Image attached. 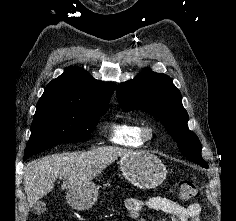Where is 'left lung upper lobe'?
<instances>
[{
	"label": "left lung upper lobe",
	"instance_id": "obj_1",
	"mask_svg": "<svg viewBox=\"0 0 236 221\" xmlns=\"http://www.w3.org/2000/svg\"><path fill=\"white\" fill-rule=\"evenodd\" d=\"M116 94L124 111L140 109L154 115L178 143L184 156L208 168L201 156L200 141L188 128V113L182 105L181 93L168 75L145 69L133 80L119 84Z\"/></svg>",
	"mask_w": 236,
	"mask_h": 221
}]
</instances>
